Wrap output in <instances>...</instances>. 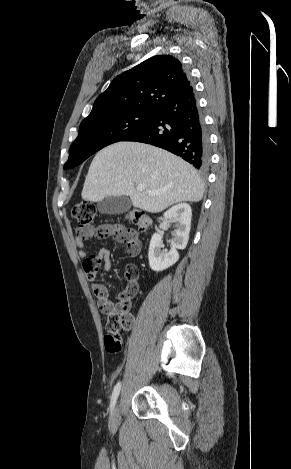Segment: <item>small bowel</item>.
Returning <instances> with one entry per match:
<instances>
[{"mask_svg": "<svg viewBox=\"0 0 291 469\" xmlns=\"http://www.w3.org/2000/svg\"><path fill=\"white\" fill-rule=\"evenodd\" d=\"M107 230V236L105 238L116 235L118 239L126 244V252L130 256H135L140 251V242L135 230L114 224H105L102 225ZM91 236L83 235L79 231L75 235V244L78 248V255L81 259L84 260L83 267L84 271L90 281L93 282V292L97 299V303L102 312L106 313L112 309L115 303L109 298V291L107 287L96 280V271L89 270L87 268V262H97L99 265L102 263V270L104 272L109 271L111 268V255L109 250L105 248L99 249L96 253L89 254L86 241H88Z\"/></svg>", "mask_w": 291, "mask_h": 469, "instance_id": "obj_1", "label": "small bowel"}]
</instances>
